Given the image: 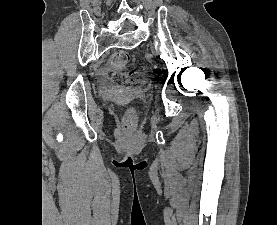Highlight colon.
<instances>
[{"mask_svg": "<svg viewBox=\"0 0 277 225\" xmlns=\"http://www.w3.org/2000/svg\"><path fill=\"white\" fill-rule=\"evenodd\" d=\"M130 62V55L126 52H117L109 60L111 76L108 82L115 87H129L137 84L141 79V74L137 71H126ZM136 119L135 110L130 108L124 116L126 128H131Z\"/></svg>", "mask_w": 277, "mask_h": 225, "instance_id": "colon-1", "label": "colon"}]
</instances>
